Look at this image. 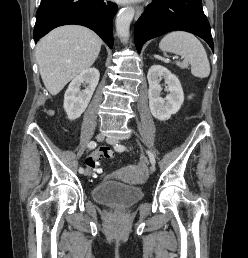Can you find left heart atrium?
Listing matches in <instances>:
<instances>
[{"label":"left heart atrium","instance_id":"1","mask_svg":"<svg viewBox=\"0 0 248 258\" xmlns=\"http://www.w3.org/2000/svg\"><path fill=\"white\" fill-rule=\"evenodd\" d=\"M121 2H129V1H132V0H119Z\"/></svg>","mask_w":248,"mask_h":258}]
</instances>
